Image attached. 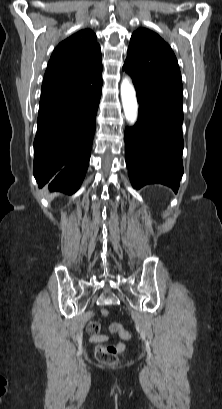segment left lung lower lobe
Masks as SVG:
<instances>
[{"label": "left lung lower lobe", "mask_w": 222, "mask_h": 409, "mask_svg": "<svg viewBox=\"0 0 222 409\" xmlns=\"http://www.w3.org/2000/svg\"><path fill=\"white\" fill-rule=\"evenodd\" d=\"M138 121L125 129L126 165L132 186L161 183L175 192L183 174V102L134 84Z\"/></svg>", "instance_id": "left-lung-lower-lobe-1"}]
</instances>
